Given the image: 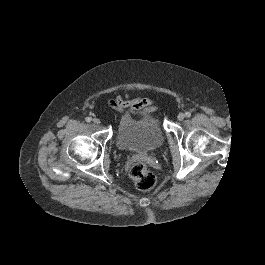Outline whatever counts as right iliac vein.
<instances>
[{
    "label": "right iliac vein",
    "mask_w": 265,
    "mask_h": 265,
    "mask_svg": "<svg viewBox=\"0 0 265 265\" xmlns=\"http://www.w3.org/2000/svg\"><path fill=\"white\" fill-rule=\"evenodd\" d=\"M100 122H101V121H100V119H98V118H94V119H93V123H94V124L99 125Z\"/></svg>",
    "instance_id": "1"
}]
</instances>
